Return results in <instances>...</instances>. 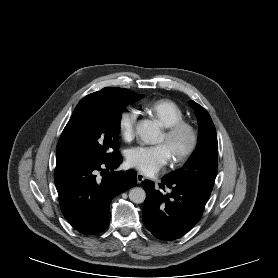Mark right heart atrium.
Instances as JSON below:
<instances>
[{
    "instance_id": "d8ad5b80",
    "label": "right heart atrium",
    "mask_w": 278,
    "mask_h": 278,
    "mask_svg": "<svg viewBox=\"0 0 278 278\" xmlns=\"http://www.w3.org/2000/svg\"><path fill=\"white\" fill-rule=\"evenodd\" d=\"M137 112L133 109L123 111L118 120V129L124 140H131L135 134Z\"/></svg>"
}]
</instances>
